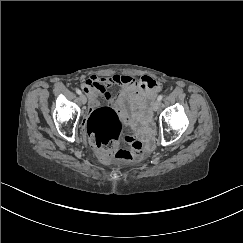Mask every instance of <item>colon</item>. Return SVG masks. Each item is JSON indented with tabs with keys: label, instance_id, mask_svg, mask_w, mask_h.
Listing matches in <instances>:
<instances>
[{
	"label": "colon",
	"instance_id": "1",
	"mask_svg": "<svg viewBox=\"0 0 243 243\" xmlns=\"http://www.w3.org/2000/svg\"><path fill=\"white\" fill-rule=\"evenodd\" d=\"M87 131L102 159L138 160L147 147L145 142L133 137L127 138V147H119L123 122L110 107L98 108L91 113L87 120Z\"/></svg>",
	"mask_w": 243,
	"mask_h": 243
}]
</instances>
